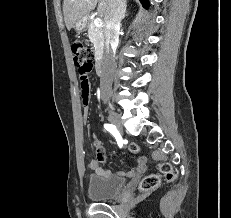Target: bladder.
<instances>
[{"instance_id": "31cf9c89", "label": "bladder", "mask_w": 231, "mask_h": 218, "mask_svg": "<svg viewBox=\"0 0 231 218\" xmlns=\"http://www.w3.org/2000/svg\"><path fill=\"white\" fill-rule=\"evenodd\" d=\"M125 186V179L114 175H91L88 196L93 201H104L117 196Z\"/></svg>"}]
</instances>
